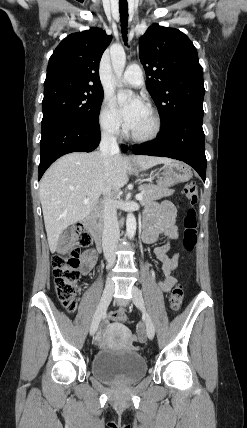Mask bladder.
<instances>
[{"label":"bladder","instance_id":"bladder-1","mask_svg":"<svg viewBox=\"0 0 247 428\" xmlns=\"http://www.w3.org/2000/svg\"><path fill=\"white\" fill-rule=\"evenodd\" d=\"M91 370L94 376L106 382L132 383L144 376L146 362L133 349L108 348L94 355Z\"/></svg>","mask_w":247,"mask_h":428}]
</instances>
